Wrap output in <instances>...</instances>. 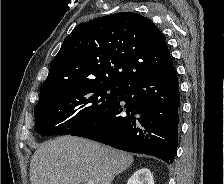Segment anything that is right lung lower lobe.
Returning <instances> with one entry per match:
<instances>
[{
  "label": "right lung lower lobe",
  "mask_w": 224,
  "mask_h": 184,
  "mask_svg": "<svg viewBox=\"0 0 224 184\" xmlns=\"http://www.w3.org/2000/svg\"><path fill=\"white\" fill-rule=\"evenodd\" d=\"M179 112V83L173 68L124 83L118 99L101 116L70 135L170 164L177 151Z\"/></svg>",
  "instance_id": "right-lung-lower-lobe-1"
}]
</instances>
